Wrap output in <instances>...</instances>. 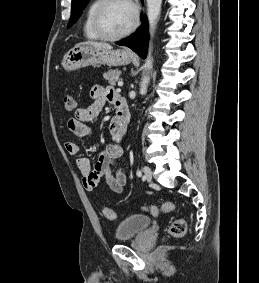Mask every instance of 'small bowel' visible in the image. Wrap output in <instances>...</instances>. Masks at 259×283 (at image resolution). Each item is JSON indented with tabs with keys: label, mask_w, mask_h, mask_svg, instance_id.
<instances>
[{
	"label": "small bowel",
	"mask_w": 259,
	"mask_h": 283,
	"mask_svg": "<svg viewBox=\"0 0 259 283\" xmlns=\"http://www.w3.org/2000/svg\"><path fill=\"white\" fill-rule=\"evenodd\" d=\"M90 96L92 103L87 107L78 108L74 116L67 122L68 129L81 138H87L92 134L91 124L96 120L105 104L109 102L115 105L119 97L111 87L99 85L91 89ZM109 130L113 142L105 150L97 153L98 159L94 168H92V164L87 157H78L76 160L77 168L83 178V185L88 191H92L99 185L104 184L115 193H121L127 183L126 175L118 168V162L124 155L121 141L126 128L117 127L114 119H112ZM65 149L71 156H77L80 152L79 145L72 141L65 143Z\"/></svg>",
	"instance_id": "c3829d8e"
}]
</instances>
